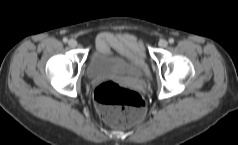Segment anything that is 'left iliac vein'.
I'll use <instances>...</instances> for the list:
<instances>
[{
	"label": "left iliac vein",
	"mask_w": 238,
	"mask_h": 145,
	"mask_svg": "<svg viewBox=\"0 0 238 145\" xmlns=\"http://www.w3.org/2000/svg\"><path fill=\"white\" fill-rule=\"evenodd\" d=\"M167 45H168V42L165 39H162L159 41V46L161 48H165V47H167Z\"/></svg>",
	"instance_id": "left-iliac-vein-1"
}]
</instances>
